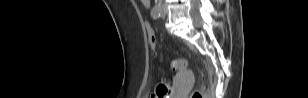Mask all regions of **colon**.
<instances>
[{
    "label": "colon",
    "mask_w": 308,
    "mask_h": 98,
    "mask_svg": "<svg viewBox=\"0 0 308 98\" xmlns=\"http://www.w3.org/2000/svg\"><path fill=\"white\" fill-rule=\"evenodd\" d=\"M146 29L149 31V42L152 48L155 47L156 39L155 35L152 31L153 26L151 24H148L146 26ZM186 61L181 58H173L170 61L171 69L175 72H182L186 69ZM170 92V84L168 83H162L158 86L155 97L156 98H165ZM168 98V97H166ZM190 98H204V94L202 91L195 90L191 93Z\"/></svg>",
    "instance_id": "1"
}]
</instances>
